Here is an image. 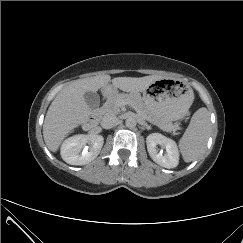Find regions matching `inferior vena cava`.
Masks as SVG:
<instances>
[{
	"mask_svg": "<svg viewBox=\"0 0 243 243\" xmlns=\"http://www.w3.org/2000/svg\"><path fill=\"white\" fill-rule=\"evenodd\" d=\"M118 124V118L114 114H107L102 118L101 126L104 129H111Z\"/></svg>",
	"mask_w": 243,
	"mask_h": 243,
	"instance_id": "obj_1",
	"label": "inferior vena cava"
}]
</instances>
